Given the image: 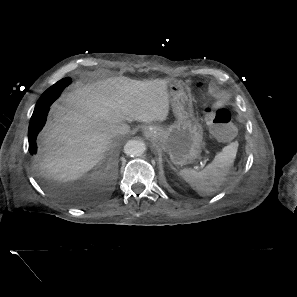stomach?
Here are the masks:
<instances>
[{
  "instance_id": "stomach-1",
  "label": "stomach",
  "mask_w": 297,
  "mask_h": 297,
  "mask_svg": "<svg viewBox=\"0 0 297 297\" xmlns=\"http://www.w3.org/2000/svg\"><path fill=\"white\" fill-rule=\"evenodd\" d=\"M168 93L177 121L167 128L154 127L153 137L173 164L184 166L201 155L203 129L193 116L189 87L181 81H173Z\"/></svg>"
}]
</instances>
